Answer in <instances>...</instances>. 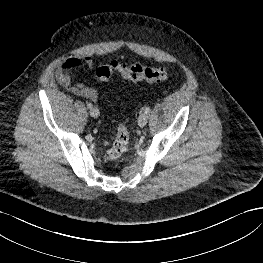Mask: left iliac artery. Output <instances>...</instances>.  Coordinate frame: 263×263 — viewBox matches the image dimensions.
<instances>
[{
	"label": "left iliac artery",
	"instance_id": "44dca946",
	"mask_svg": "<svg viewBox=\"0 0 263 263\" xmlns=\"http://www.w3.org/2000/svg\"><path fill=\"white\" fill-rule=\"evenodd\" d=\"M150 110H151V109H150V107H146V108L144 109V113H146V114H147V113H149V112H150Z\"/></svg>",
	"mask_w": 263,
	"mask_h": 263
}]
</instances>
